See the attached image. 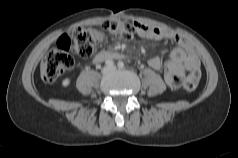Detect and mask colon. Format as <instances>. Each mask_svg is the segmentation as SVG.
<instances>
[{
	"label": "colon",
	"instance_id": "1",
	"mask_svg": "<svg viewBox=\"0 0 238 158\" xmlns=\"http://www.w3.org/2000/svg\"><path fill=\"white\" fill-rule=\"evenodd\" d=\"M105 32L130 39L146 33V29L138 23L120 19L106 21L101 29L94 27L71 29L59 38L56 47L50 50L42 60L40 66L42 79L47 83H52L71 69L74 65L72 51L83 58L90 57L103 43ZM200 78V70H193L185 79L184 89L188 92L195 90Z\"/></svg>",
	"mask_w": 238,
	"mask_h": 158
}]
</instances>
